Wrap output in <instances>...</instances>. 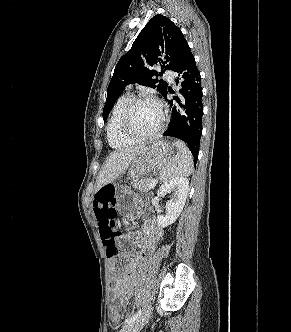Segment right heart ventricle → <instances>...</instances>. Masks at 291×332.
Wrapping results in <instances>:
<instances>
[{"label":"right heart ventricle","mask_w":291,"mask_h":332,"mask_svg":"<svg viewBox=\"0 0 291 332\" xmlns=\"http://www.w3.org/2000/svg\"><path fill=\"white\" fill-rule=\"evenodd\" d=\"M133 98L134 97L131 93H125L117 99L113 106L111 116L106 126V133L108 143L114 149H123L136 143V141L126 137L121 129V120L123 113L128 103Z\"/></svg>","instance_id":"1"}]
</instances>
